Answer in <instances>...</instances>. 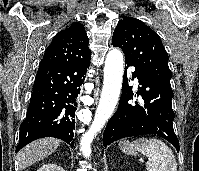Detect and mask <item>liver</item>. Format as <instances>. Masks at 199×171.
Wrapping results in <instances>:
<instances>
[{"label":"liver","mask_w":199,"mask_h":171,"mask_svg":"<svg viewBox=\"0 0 199 171\" xmlns=\"http://www.w3.org/2000/svg\"><path fill=\"white\" fill-rule=\"evenodd\" d=\"M60 142L59 139L50 137L31 142L21 149L17 155L19 168L24 169L46 158L58 148Z\"/></svg>","instance_id":"6515ba94"}]
</instances>
